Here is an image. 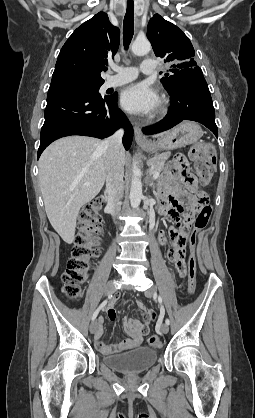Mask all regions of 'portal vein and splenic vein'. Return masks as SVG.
I'll list each match as a JSON object with an SVG mask.
<instances>
[{
	"mask_svg": "<svg viewBox=\"0 0 255 418\" xmlns=\"http://www.w3.org/2000/svg\"><path fill=\"white\" fill-rule=\"evenodd\" d=\"M159 177V171H155L153 173V180H156ZM89 183H85V186H89Z\"/></svg>",
	"mask_w": 255,
	"mask_h": 418,
	"instance_id": "1",
	"label": "portal vein and splenic vein"
}]
</instances>
